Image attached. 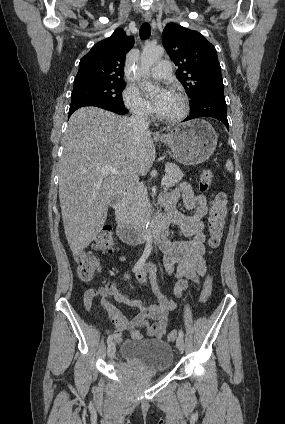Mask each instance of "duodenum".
Wrapping results in <instances>:
<instances>
[{"label":"duodenum","mask_w":285,"mask_h":424,"mask_svg":"<svg viewBox=\"0 0 285 424\" xmlns=\"http://www.w3.org/2000/svg\"><path fill=\"white\" fill-rule=\"evenodd\" d=\"M114 208L116 211V234L118 238L127 244H137L148 240L153 236L166 237L168 230V220L165 216L157 214L149 226H133L123 219V204L119 199H115Z\"/></svg>","instance_id":"1"}]
</instances>
